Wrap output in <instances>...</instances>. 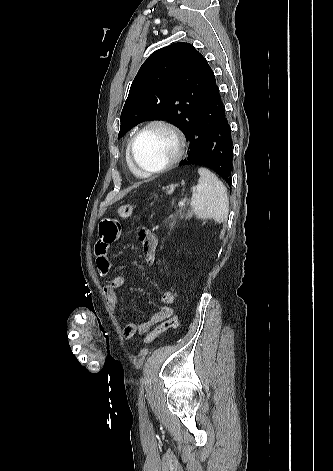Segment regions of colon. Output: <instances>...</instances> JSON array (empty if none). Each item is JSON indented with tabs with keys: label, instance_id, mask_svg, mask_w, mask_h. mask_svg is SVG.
I'll use <instances>...</instances> for the list:
<instances>
[{
	"label": "colon",
	"instance_id": "colon-1",
	"mask_svg": "<svg viewBox=\"0 0 333 471\" xmlns=\"http://www.w3.org/2000/svg\"><path fill=\"white\" fill-rule=\"evenodd\" d=\"M134 212V206L132 204H125L120 206L117 209V214L121 218H128ZM179 326V318L177 315L171 317L165 322L157 326L153 331H151L145 338L144 344H149L154 341L159 335L163 334L169 329L177 328Z\"/></svg>",
	"mask_w": 333,
	"mask_h": 471
}]
</instances>
